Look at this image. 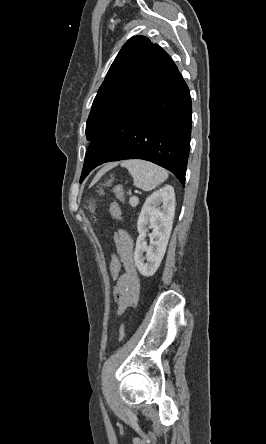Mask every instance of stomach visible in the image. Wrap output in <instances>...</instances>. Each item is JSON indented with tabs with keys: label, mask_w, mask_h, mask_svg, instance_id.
<instances>
[{
	"label": "stomach",
	"mask_w": 266,
	"mask_h": 444,
	"mask_svg": "<svg viewBox=\"0 0 266 444\" xmlns=\"http://www.w3.org/2000/svg\"><path fill=\"white\" fill-rule=\"evenodd\" d=\"M111 184V181H107L106 183H105V186H109ZM100 194H103V191L101 190L100 191ZM88 208H89V210L90 211H94V209H95V206L94 205H92V203H90V205L88 206Z\"/></svg>",
	"instance_id": "stomach-1"
}]
</instances>
